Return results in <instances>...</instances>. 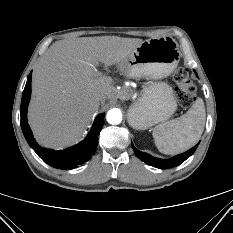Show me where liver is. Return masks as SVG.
<instances>
[{"label":"liver","mask_w":233,"mask_h":233,"mask_svg":"<svg viewBox=\"0 0 233 233\" xmlns=\"http://www.w3.org/2000/svg\"><path fill=\"white\" fill-rule=\"evenodd\" d=\"M142 42L118 36L54 42L33 72L28 121L37 141L56 149L79 141L111 93L112 79L96 75L95 65H115Z\"/></svg>","instance_id":"6515ba94"}]
</instances>
